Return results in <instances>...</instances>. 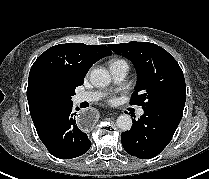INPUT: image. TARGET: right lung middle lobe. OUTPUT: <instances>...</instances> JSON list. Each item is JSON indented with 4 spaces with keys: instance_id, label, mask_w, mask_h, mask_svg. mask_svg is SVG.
I'll list each match as a JSON object with an SVG mask.
<instances>
[{
    "instance_id": "1",
    "label": "right lung middle lobe",
    "mask_w": 209,
    "mask_h": 179,
    "mask_svg": "<svg viewBox=\"0 0 209 179\" xmlns=\"http://www.w3.org/2000/svg\"><path fill=\"white\" fill-rule=\"evenodd\" d=\"M50 99H51V101H54V98L53 97H51Z\"/></svg>"
}]
</instances>
